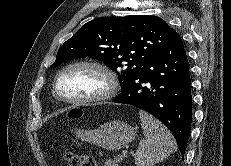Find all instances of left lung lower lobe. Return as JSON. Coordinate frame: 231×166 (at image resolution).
<instances>
[{
    "label": "left lung lower lobe",
    "mask_w": 231,
    "mask_h": 166,
    "mask_svg": "<svg viewBox=\"0 0 231 166\" xmlns=\"http://www.w3.org/2000/svg\"><path fill=\"white\" fill-rule=\"evenodd\" d=\"M155 116L174 135L184 155L192 121L189 62L179 33L132 77L113 100Z\"/></svg>",
    "instance_id": "1"
}]
</instances>
